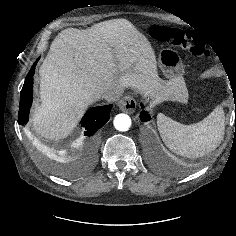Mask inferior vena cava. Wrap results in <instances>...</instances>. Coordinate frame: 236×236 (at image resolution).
<instances>
[{
  "label": "inferior vena cava",
  "mask_w": 236,
  "mask_h": 236,
  "mask_svg": "<svg viewBox=\"0 0 236 236\" xmlns=\"http://www.w3.org/2000/svg\"><path fill=\"white\" fill-rule=\"evenodd\" d=\"M120 96H121L120 90L116 89L107 90L102 94V98H104L108 102L118 101L120 99Z\"/></svg>",
  "instance_id": "602c4592"
}]
</instances>
